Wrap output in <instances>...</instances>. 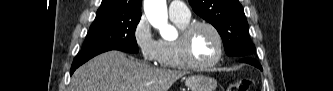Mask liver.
<instances>
[{
    "mask_svg": "<svg viewBox=\"0 0 333 91\" xmlns=\"http://www.w3.org/2000/svg\"><path fill=\"white\" fill-rule=\"evenodd\" d=\"M184 75L127 58L121 51H109L74 72L70 91H168Z\"/></svg>",
    "mask_w": 333,
    "mask_h": 91,
    "instance_id": "1",
    "label": "liver"
}]
</instances>
